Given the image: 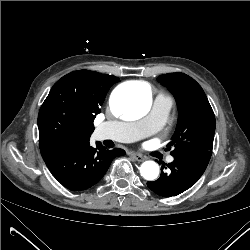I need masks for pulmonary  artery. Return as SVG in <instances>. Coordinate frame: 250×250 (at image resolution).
<instances>
[{
	"mask_svg": "<svg viewBox=\"0 0 250 250\" xmlns=\"http://www.w3.org/2000/svg\"><path fill=\"white\" fill-rule=\"evenodd\" d=\"M172 108V100L164 94H158L149 114L133 122L109 121L102 123L97 131L99 139H110L119 142H134L157 132L164 124ZM173 156L167 158L173 162Z\"/></svg>",
	"mask_w": 250,
	"mask_h": 250,
	"instance_id": "pulmonary-artery-1",
	"label": "pulmonary artery"
}]
</instances>
